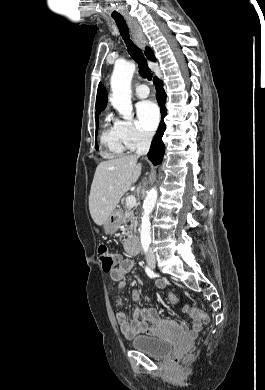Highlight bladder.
<instances>
[{
    "label": "bladder",
    "instance_id": "bladder-1",
    "mask_svg": "<svg viewBox=\"0 0 265 390\" xmlns=\"http://www.w3.org/2000/svg\"><path fill=\"white\" fill-rule=\"evenodd\" d=\"M130 345L135 350L153 357H162L173 350L172 343L151 335L136 336L130 341Z\"/></svg>",
    "mask_w": 265,
    "mask_h": 390
}]
</instances>
